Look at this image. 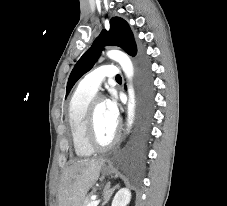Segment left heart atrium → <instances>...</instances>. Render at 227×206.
<instances>
[{
  "mask_svg": "<svg viewBox=\"0 0 227 206\" xmlns=\"http://www.w3.org/2000/svg\"><path fill=\"white\" fill-rule=\"evenodd\" d=\"M106 114L109 120L117 126L119 119V107L115 98L107 99L105 102Z\"/></svg>",
  "mask_w": 227,
  "mask_h": 206,
  "instance_id": "left-heart-atrium-1",
  "label": "left heart atrium"
}]
</instances>
